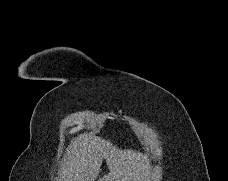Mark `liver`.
I'll return each mask as SVG.
<instances>
[{"instance_id":"6515ba94","label":"liver","mask_w":228,"mask_h":181,"mask_svg":"<svg viewBox=\"0 0 228 181\" xmlns=\"http://www.w3.org/2000/svg\"><path fill=\"white\" fill-rule=\"evenodd\" d=\"M59 181H96L103 159L109 169L100 181H147L148 155L132 149H119L111 141L95 135H80L67 153Z\"/></svg>"}]
</instances>
